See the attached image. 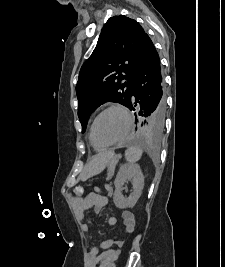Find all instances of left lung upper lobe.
<instances>
[{
  "label": "left lung upper lobe",
  "instance_id": "left-lung-upper-lobe-1",
  "mask_svg": "<svg viewBox=\"0 0 225 267\" xmlns=\"http://www.w3.org/2000/svg\"><path fill=\"white\" fill-rule=\"evenodd\" d=\"M146 36L134 19L120 15L107 20L93 53L81 67L76 86L82 132L91 113L101 104L111 101L129 108L134 73ZM138 122L143 132L153 135H159L164 126L152 116Z\"/></svg>",
  "mask_w": 225,
  "mask_h": 267
}]
</instances>
